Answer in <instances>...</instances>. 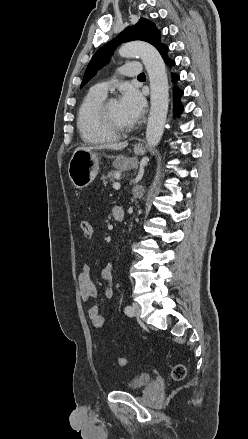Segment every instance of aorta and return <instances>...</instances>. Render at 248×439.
I'll list each match as a JSON object with an SVG mask.
<instances>
[{
    "label": "aorta",
    "instance_id": "762f6f07",
    "mask_svg": "<svg viewBox=\"0 0 248 439\" xmlns=\"http://www.w3.org/2000/svg\"><path fill=\"white\" fill-rule=\"evenodd\" d=\"M119 54L124 58L139 56L148 72L151 108L146 140L150 147H155L162 138L169 105V85L164 61L155 47L141 41L123 44Z\"/></svg>",
    "mask_w": 248,
    "mask_h": 439
}]
</instances>
